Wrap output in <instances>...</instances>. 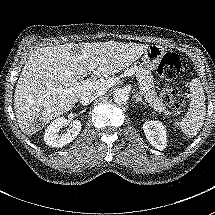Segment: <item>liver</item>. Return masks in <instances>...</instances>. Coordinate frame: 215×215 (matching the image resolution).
<instances>
[{
  "label": "liver",
  "instance_id": "6515ba94",
  "mask_svg": "<svg viewBox=\"0 0 215 215\" xmlns=\"http://www.w3.org/2000/svg\"><path fill=\"white\" fill-rule=\"evenodd\" d=\"M148 45L133 42H80L38 48L31 53L16 84L14 109L21 131L31 136L50 120L70 111L92 87L76 89L84 77L119 73L139 59ZM102 90V89H100Z\"/></svg>",
  "mask_w": 215,
  "mask_h": 215
}]
</instances>
